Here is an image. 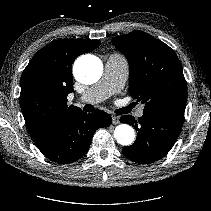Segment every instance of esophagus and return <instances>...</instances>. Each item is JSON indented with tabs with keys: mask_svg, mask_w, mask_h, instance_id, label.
Segmentation results:
<instances>
[{
	"mask_svg": "<svg viewBox=\"0 0 211 211\" xmlns=\"http://www.w3.org/2000/svg\"><path fill=\"white\" fill-rule=\"evenodd\" d=\"M119 122H120V121H119V117L113 115V116H112V123H113V124H119Z\"/></svg>",
	"mask_w": 211,
	"mask_h": 211,
	"instance_id": "34e87169",
	"label": "esophagus"
}]
</instances>
